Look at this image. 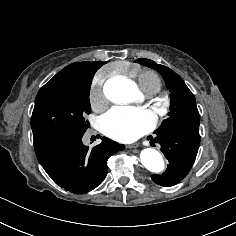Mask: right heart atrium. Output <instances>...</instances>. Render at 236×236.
<instances>
[{"instance_id":"right-heart-atrium-1","label":"right heart atrium","mask_w":236,"mask_h":236,"mask_svg":"<svg viewBox=\"0 0 236 236\" xmlns=\"http://www.w3.org/2000/svg\"><path fill=\"white\" fill-rule=\"evenodd\" d=\"M107 80V71L102 70L97 73L92 81L90 98L91 101L98 105L106 102L105 83Z\"/></svg>"}]
</instances>
